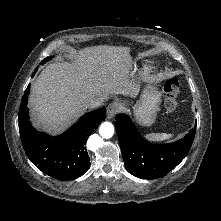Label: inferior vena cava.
Returning a JSON list of instances; mask_svg holds the SVG:
<instances>
[{
    "label": "inferior vena cava",
    "mask_w": 221,
    "mask_h": 221,
    "mask_svg": "<svg viewBox=\"0 0 221 221\" xmlns=\"http://www.w3.org/2000/svg\"><path fill=\"white\" fill-rule=\"evenodd\" d=\"M103 99L98 98H91L87 101L86 107L87 108H97L102 104Z\"/></svg>",
    "instance_id": "obj_1"
}]
</instances>
